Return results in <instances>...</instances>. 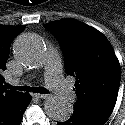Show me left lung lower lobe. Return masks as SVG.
Masks as SVG:
<instances>
[{"label":"left lung lower lobe","instance_id":"1","mask_svg":"<svg viewBox=\"0 0 125 125\" xmlns=\"http://www.w3.org/2000/svg\"><path fill=\"white\" fill-rule=\"evenodd\" d=\"M107 119V116L74 108L72 117L65 122H58L57 125H104Z\"/></svg>","mask_w":125,"mask_h":125}]
</instances>
